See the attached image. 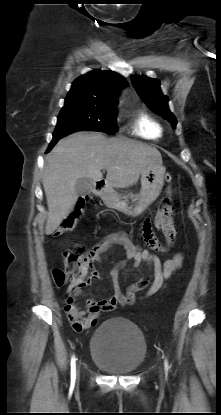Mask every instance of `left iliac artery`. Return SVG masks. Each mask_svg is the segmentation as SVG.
I'll list each match as a JSON object with an SVG mask.
<instances>
[{
  "label": "left iliac artery",
  "mask_w": 221,
  "mask_h": 415,
  "mask_svg": "<svg viewBox=\"0 0 221 415\" xmlns=\"http://www.w3.org/2000/svg\"><path fill=\"white\" fill-rule=\"evenodd\" d=\"M165 369H166V370L168 369V364H167V361H165Z\"/></svg>",
  "instance_id": "obj_1"
}]
</instances>
